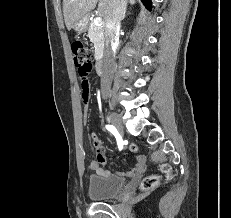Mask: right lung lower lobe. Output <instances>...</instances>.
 Returning <instances> with one entry per match:
<instances>
[{
  "instance_id": "right-lung-lower-lobe-1",
  "label": "right lung lower lobe",
  "mask_w": 231,
  "mask_h": 218,
  "mask_svg": "<svg viewBox=\"0 0 231 218\" xmlns=\"http://www.w3.org/2000/svg\"><path fill=\"white\" fill-rule=\"evenodd\" d=\"M141 1L148 9L151 8V0H141Z\"/></svg>"
}]
</instances>
